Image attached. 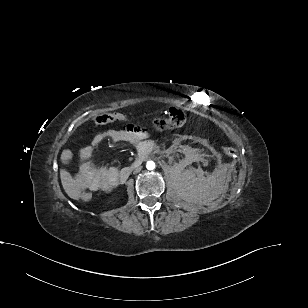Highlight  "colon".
Returning <instances> with one entry per match:
<instances>
[{"label": "colon", "instance_id": "obj_1", "mask_svg": "<svg viewBox=\"0 0 308 308\" xmlns=\"http://www.w3.org/2000/svg\"><path fill=\"white\" fill-rule=\"evenodd\" d=\"M124 120H126V116L124 114L118 112H111L97 116L94 121L98 125H103L114 121ZM185 121V113L179 108L172 107L166 112L165 115L155 117L152 120V127L158 131H163L181 127L182 125H184ZM223 152L229 157H234L236 154V150L233 147L229 146L224 147ZM92 197L93 195L90 190H83L80 192L78 198L84 202H88L92 199Z\"/></svg>", "mask_w": 308, "mask_h": 308}]
</instances>
